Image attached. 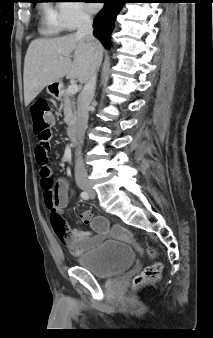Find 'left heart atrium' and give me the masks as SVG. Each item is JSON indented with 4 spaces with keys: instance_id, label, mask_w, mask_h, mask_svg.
<instances>
[{
    "instance_id": "1",
    "label": "left heart atrium",
    "mask_w": 213,
    "mask_h": 338,
    "mask_svg": "<svg viewBox=\"0 0 213 338\" xmlns=\"http://www.w3.org/2000/svg\"><path fill=\"white\" fill-rule=\"evenodd\" d=\"M88 7L92 11H96L99 9L100 5L98 3H87Z\"/></svg>"
}]
</instances>
